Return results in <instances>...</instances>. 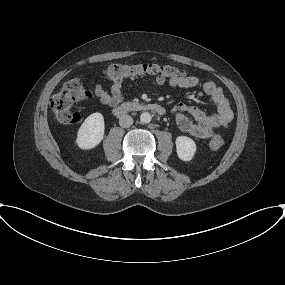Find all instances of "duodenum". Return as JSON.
<instances>
[{"mask_svg": "<svg viewBox=\"0 0 285 285\" xmlns=\"http://www.w3.org/2000/svg\"><path fill=\"white\" fill-rule=\"evenodd\" d=\"M150 111L159 116L166 114V109L157 103H139V102H126L114 108V114L122 116L130 112H143Z\"/></svg>", "mask_w": 285, "mask_h": 285, "instance_id": "1", "label": "duodenum"}]
</instances>
